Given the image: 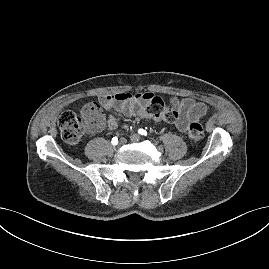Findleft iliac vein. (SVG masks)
Segmentation results:
<instances>
[{"label": "left iliac vein", "mask_w": 269, "mask_h": 269, "mask_svg": "<svg viewBox=\"0 0 269 269\" xmlns=\"http://www.w3.org/2000/svg\"><path fill=\"white\" fill-rule=\"evenodd\" d=\"M140 135H138V134H132L131 136H130V140L132 141V142H138V141H140Z\"/></svg>", "instance_id": "obj_1"}]
</instances>
